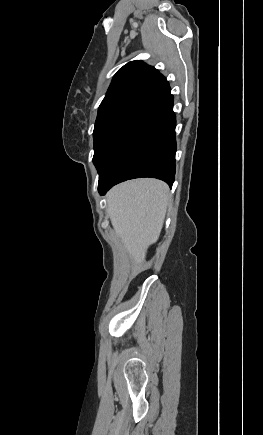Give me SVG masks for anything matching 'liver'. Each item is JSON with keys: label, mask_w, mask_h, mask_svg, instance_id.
I'll list each match as a JSON object with an SVG mask.
<instances>
[{"label": "liver", "mask_w": 263, "mask_h": 435, "mask_svg": "<svg viewBox=\"0 0 263 435\" xmlns=\"http://www.w3.org/2000/svg\"><path fill=\"white\" fill-rule=\"evenodd\" d=\"M168 202L167 184L156 179L127 181L107 194L111 224L136 263L134 271L160 236Z\"/></svg>", "instance_id": "obj_1"}]
</instances>
